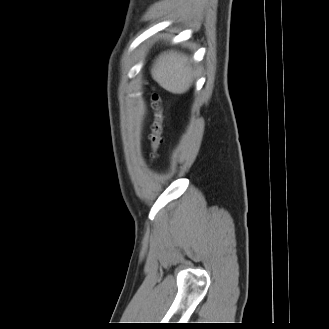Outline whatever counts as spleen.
<instances>
[{
    "instance_id": "1",
    "label": "spleen",
    "mask_w": 329,
    "mask_h": 329,
    "mask_svg": "<svg viewBox=\"0 0 329 329\" xmlns=\"http://www.w3.org/2000/svg\"><path fill=\"white\" fill-rule=\"evenodd\" d=\"M151 74L162 88L174 94L185 93L192 82V69L188 58L177 52L160 55Z\"/></svg>"
}]
</instances>
